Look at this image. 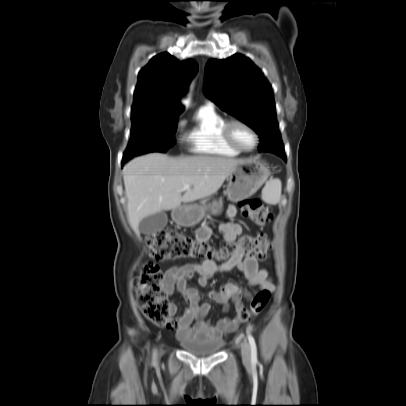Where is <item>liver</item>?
<instances>
[{"label":"liver","mask_w":406,"mask_h":406,"mask_svg":"<svg viewBox=\"0 0 406 406\" xmlns=\"http://www.w3.org/2000/svg\"><path fill=\"white\" fill-rule=\"evenodd\" d=\"M242 162L207 155L173 158L161 153L131 160L122 172L130 226L137 232L141 220L149 215L213 195ZM186 184L190 189L182 195Z\"/></svg>","instance_id":"liver-1"}]
</instances>
